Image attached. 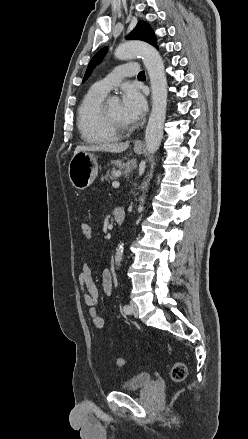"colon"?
I'll return each instance as SVG.
<instances>
[{
  "mask_svg": "<svg viewBox=\"0 0 248 439\" xmlns=\"http://www.w3.org/2000/svg\"><path fill=\"white\" fill-rule=\"evenodd\" d=\"M81 229H82L83 236L86 239H90L92 237V228H91V226L88 223H83L82 226H81ZM125 362L126 361H125L124 358H117L116 359V365L118 367L124 366ZM186 375H187V368H186V366L183 363L176 362L172 366V369H171V372H170V376H171V379L174 382L180 383V382L184 381L185 378H186Z\"/></svg>",
  "mask_w": 248,
  "mask_h": 439,
  "instance_id": "1",
  "label": "colon"
}]
</instances>
